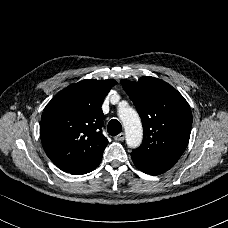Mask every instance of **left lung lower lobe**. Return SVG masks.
<instances>
[{
  "label": "left lung lower lobe",
  "instance_id": "0a47b994",
  "mask_svg": "<svg viewBox=\"0 0 228 228\" xmlns=\"http://www.w3.org/2000/svg\"><path fill=\"white\" fill-rule=\"evenodd\" d=\"M134 164L139 170L143 171L146 174L159 175V174H162V173L166 172L164 170H158V169H155V168H151V167L142 165L140 163H135L134 162Z\"/></svg>",
  "mask_w": 228,
  "mask_h": 228
}]
</instances>
